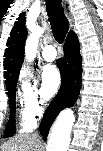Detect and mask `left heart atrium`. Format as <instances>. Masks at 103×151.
Listing matches in <instances>:
<instances>
[{"label":"left heart atrium","mask_w":103,"mask_h":151,"mask_svg":"<svg viewBox=\"0 0 103 151\" xmlns=\"http://www.w3.org/2000/svg\"><path fill=\"white\" fill-rule=\"evenodd\" d=\"M61 84V76L58 68L48 65L42 72V93L46 99L51 98Z\"/></svg>","instance_id":"39dd6f15"}]
</instances>
